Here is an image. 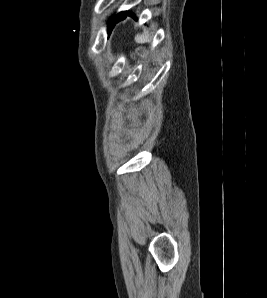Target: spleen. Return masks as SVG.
I'll list each match as a JSON object with an SVG mask.
<instances>
[{
    "mask_svg": "<svg viewBox=\"0 0 267 298\" xmlns=\"http://www.w3.org/2000/svg\"><path fill=\"white\" fill-rule=\"evenodd\" d=\"M135 41L137 43H146L151 41V36L149 35L148 31H144L141 35L135 36Z\"/></svg>",
    "mask_w": 267,
    "mask_h": 298,
    "instance_id": "3e777b00",
    "label": "spleen"
}]
</instances>
